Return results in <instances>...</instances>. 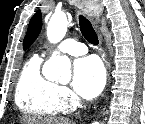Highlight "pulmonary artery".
<instances>
[{"label": "pulmonary artery", "instance_id": "1", "mask_svg": "<svg viewBox=\"0 0 145 124\" xmlns=\"http://www.w3.org/2000/svg\"><path fill=\"white\" fill-rule=\"evenodd\" d=\"M55 49L72 56H80L87 53L86 46L83 43H80L73 39L64 40L62 43L57 45ZM45 54L46 53H43V55Z\"/></svg>", "mask_w": 145, "mask_h": 124}]
</instances>
